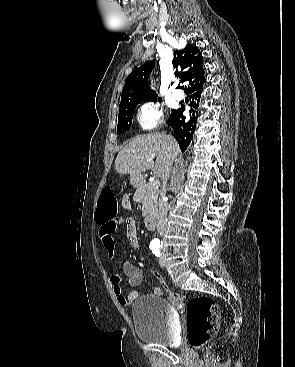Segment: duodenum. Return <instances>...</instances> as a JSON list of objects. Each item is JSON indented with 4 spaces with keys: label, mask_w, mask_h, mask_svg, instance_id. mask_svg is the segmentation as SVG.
Masks as SVG:
<instances>
[{
    "label": "duodenum",
    "mask_w": 295,
    "mask_h": 367,
    "mask_svg": "<svg viewBox=\"0 0 295 367\" xmlns=\"http://www.w3.org/2000/svg\"><path fill=\"white\" fill-rule=\"evenodd\" d=\"M157 216L154 213H150L145 216L144 224L147 229H152L156 224Z\"/></svg>",
    "instance_id": "410a0bca"
}]
</instances>
